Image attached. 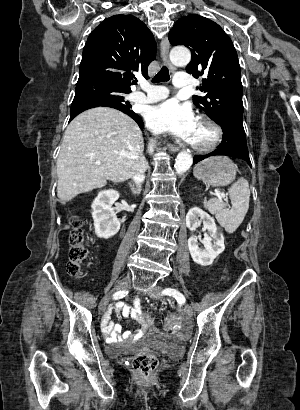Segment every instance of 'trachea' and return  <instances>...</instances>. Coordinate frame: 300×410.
<instances>
[{"mask_svg": "<svg viewBox=\"0 0 300 410\" xmlns=\"http://www.w3.org/2000/svg\"><path fill=\"white\" fill-rule=\"evenodd\" d=\"M169 79H170L169 70L166 66H163L161 70L152 79V82L153 83L167 82L169 81Z\"/></svg>", "mask_w": 300, "mask_h": 410, "instance_id": "3493384b", "label": "trachea"}]
</instances>
